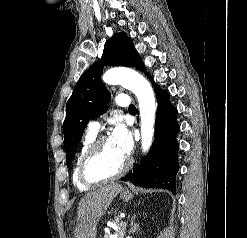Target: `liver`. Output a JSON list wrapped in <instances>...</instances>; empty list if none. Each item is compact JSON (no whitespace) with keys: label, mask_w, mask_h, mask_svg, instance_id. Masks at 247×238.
Returning <instances> with one entry per match:
<instances>
[{"label":"liver","mask_w":247,"mask_h":238,"mask_svg":"<svg viewBox=\"0 0 247 238\" xmlns=\"http://www.w3.org/2000/svg\"><path fill=\"white\" fill-rule=\"evenodd\" d=\"M123 190L113 183L86 194L79 202L75 238H95L97 223L113 199Z\"/></svg>","instance_id":"liver-1"}]
</instances>
